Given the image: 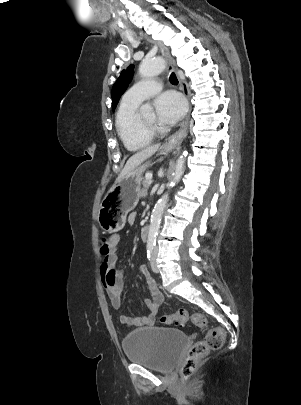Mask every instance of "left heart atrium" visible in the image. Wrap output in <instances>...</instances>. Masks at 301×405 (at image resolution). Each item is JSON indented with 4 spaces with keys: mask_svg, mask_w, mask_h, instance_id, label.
Listing matches in <instances>:
<instances>
[{
    "mask_svg": "<svg viewBox=\"0 0 301 405\" xmlns=\"http://www.w3.org/2000/svg\"><path fill=\"white\" fill-rule=\"evenodd\" d=\"M154 106L158 120L165 124L175 123L186 111L183 97L174 91H166L158 95Z\"/></svg>",
    "mask_w": 301,
    "mask_h": 405,
    "instance_id": "1",
    "label": "left heart atrium"
}]
</instances>
